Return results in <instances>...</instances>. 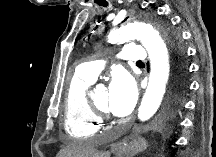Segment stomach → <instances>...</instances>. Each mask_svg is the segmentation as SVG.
Returning <instances> with one entry per match:
<instances>
[{
  "label": "stomach",
  "mask_w": 216,
  "mask_h": 157,
  "mask_svg": "<svg viewBox=\"0 0 216 157\" xmlns=\"http://www.w3.org/2000/svg\"><path fill=\"white\" fill-rule=\"evenodd\" d=\"M147 143L142 137H134L130 141L125 142L122 146L123 153L127 155H135L146 149Z\"/></svg>",
  "instance_id": "stomach-1"
}]
</instances>
